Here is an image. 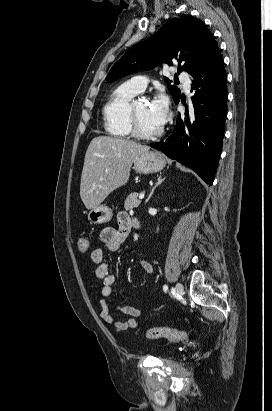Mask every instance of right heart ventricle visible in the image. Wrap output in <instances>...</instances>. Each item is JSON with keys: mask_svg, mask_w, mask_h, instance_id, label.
I'll return each instance as SVG.
<instances>
[{"mask_svg": "<svg viewBox=\"0 0 272 411\" xmlns=\"http://www.w3.org/2000/svg\"><path fill=\"white\" fill-rule=\"evenodd\" d=\"M138 92L129 82L120 84L109 96L103 106V119L107 132L115 137L126 138L131 135L128 108Z\"/></svg>", "mask_w": 272, "mask_h": 411, "instance_id": "1", "label": "right heart ventricle"}]
</instances>
